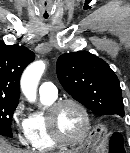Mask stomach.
<instances>
[{"instance_id": "obj_1", "label": "stomach", "mask_w": 130, "mask_h": 153, "mask_svg": "<svg viewBox=\"0 0 130 153\" xmlns=\"http://www.w3.org/2000/svg\"><path fill=\"white\" fill-rule=\"evenodd\" d=\"M108 135L98 127L92 131L86 142L71 153H101Z\"/></svg>"}]
</instances>
